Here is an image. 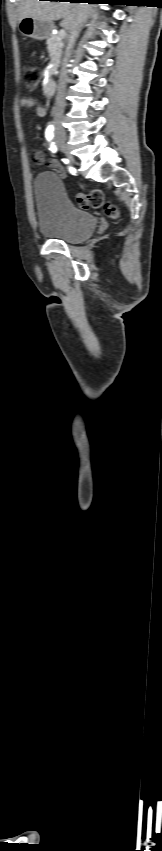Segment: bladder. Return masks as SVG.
Segmentation results:
<instances>
[{
	"label": "bladder",
	"instance_id": "bladder-1",
	"mask_svg": "<svg viewBox=\"0 0 162 851\" xmlns=\"http://www.w3.org/2000/svg\"><path fill=\"white\" fill-rule=\"evenodd\" d=\"M33 195L38 228L43 236L67 243H80L95 231V216L78 208L67 197L63 182L57 174H38L33 183Z\"/></svg>",
	"mask_w": 162,
	"mask_h": 851
}]
</instances>
